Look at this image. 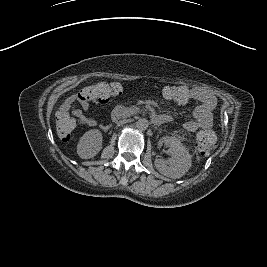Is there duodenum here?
<instances>
[{"instance_id": "1", "label": "duodenum", "mask_w": 267, "mask_h": 267, "mask_svg": "<svg viewBox=\"0 0 267 267\" xmlns=\"http://www.w3.org/2000/svg\"><path fill=\"white\" fill-rule=\"evenodd\" d=\"M135 116H146L156 125H161L167 121L166 116L162 115H155V114H149L142 110H129L123 107H117L112 112V121H116L119 119H127V118H133Z\"/></svg>"}]
</instances>
